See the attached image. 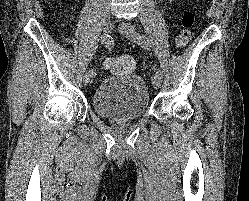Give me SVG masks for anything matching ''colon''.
Listing matches in <instances>:
<instances>
[{
    "instance_id": "1",
    "label": "colon",
    "mask_w": 249,
    "mask_h": 201,
    "mask_svg": "<svg viewBox=\"0 0 249 201\" xmlns=\"http://www.w3.org/2000/svg\"><path fill=\"white\" fill-rule=\"evenodd\" d=\"M195 21V13L192 10H186L182 14V30L175 39V46L177 49H183L188 45ZM106 66L111 72L115 74L128 75L134 70L135 62L132 57L122 55L109 59Z\"/></svg>"
}]
</instances>
